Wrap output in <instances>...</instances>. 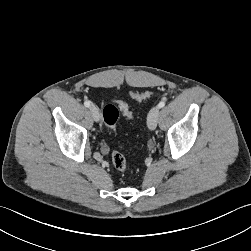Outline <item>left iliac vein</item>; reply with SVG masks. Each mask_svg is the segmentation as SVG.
<instances>
[{"instance_id": "1", "label": "left iliac vein", "mask_w": 251, "mask_h": 251, "mask_svg": "<svg viewBox=\"0 0 251 251\" xmlns=\"http://www.w3.org/2000/svg\"><path fill=\"white\" fill-rule=\"evenodd\" d=\"M159 117V107H153L147 116V125L150 130H154L157 126Z\"/></svg>"}]
</instances>
